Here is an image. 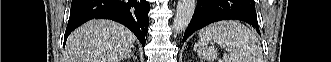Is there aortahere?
I'll use <instances>...</instances> for the list:
<instances>
[{
  "instance_id": "762f6f07",
  "label": "aorta",
  "mask_w": 331,
  "mask_h": 62,
  "mask_svg": "<svg viewBox=\"0 0 331 62\" xmlns=\"http://www.w3.org/2000/svg\"><path fill=\"white\" fill-rule=\"evenodd\" d=\"M195 7V0H178L173 20V29L176 32H182L187 28L194 14Z\"/></svg>"
}]
</instances>
